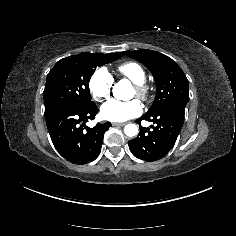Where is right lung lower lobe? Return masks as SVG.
<instances>
[{
    "label": "right lung lower lobe",
    "instance_id": "right-lung-lower-lobe-1",
    "mask_svg": "<svg viewBox=\"0 0 236 236\" xmlns=\"http://www.w3.org/2000/svg\"><path fill=\"white\" fill-rule=\"evenodd\" d=\"M97 112L95 103L81 109L59 106L45 111L52 143L67 161L81 165L93 161L99 155L104 133L111 123H98L93 128L84 124L93 120Z\"/></svg>",
    "mask_w": 236,
    "mask_h": 236
}]
</instances>
